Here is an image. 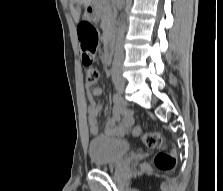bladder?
Segmentation results:
<instances>
[{
  "label": "bladder",
  "mask_w": 223,
  "mask_h": 191,
  "mask_svg": "<svg viewBox=\"0 0 223 191\" xmlns=\"http://www.w3.org/2000/svg\"><path fill=\"white\" fill-rule=\"evenodd\" d=\"M130 152V144L125 139L107 137L93 138L88 144V154L96 166H109L126 157Z\"/></svg>",
  "instance_id": "bladder-1"
}]
</instances>
